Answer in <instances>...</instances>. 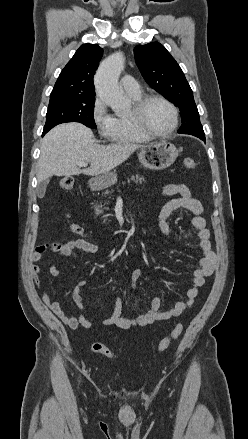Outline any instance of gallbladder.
<instances>
[{
  "instance_id": "bac80fb5",
  "label": "gallbladder",
  "mask_w": 248,
  "mask_h": 439,
  "mask_svg": "<svg viewBox=\"0 0 248 439\" xmlns=\"http://www.w3.org/2000/svg\"><path fill=\"white\" fill-rule=\"evenodd\" d=\"M48 183H49V179H46V180L38 183L36 192H37V196L39 198H42L45 195Z\"/></svg>"
}]
</instances>
